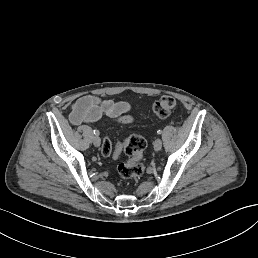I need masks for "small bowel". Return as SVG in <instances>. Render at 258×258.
<instances>
[{"label": "small bowel", "mask_w": 258, "mask_h": 258, "mask_svg": "<svg viewBox=\"0 0 258 258\" xmlns=\"http://www.w3.org/2000/svg\"><path fill=\"white\" fill-rule=\"evenodd\" d=\"M130 110L131 105L126 101L106 100L87 95L79 98L72 105L70 121L74 125L95 123L105 116L110 121L130 124L133 122V117L129 114Z\"/></svg>", "instance_id": "obj_1"}]
</instances>
